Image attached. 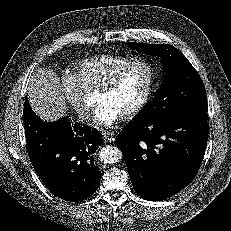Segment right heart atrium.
I'll use <instances>...</instances> for the list:
<instances>
[{
	"label": "right heart atrium",
	"mask_w": 231,
	"mask_h": 231,
	"mask_svg": "<svg viewBox=\"0 0 231 231\" xmlns=\"http://www.w3.org/2000/svg\"><path fill=\"white\" fill-rule=\"evenodd\" d=\"M59 94L73 107L81 120H88L93 105L89 102L85 90L73 74H64L58 84Z\"/></svg>",
	"instance_id": "1"
}]
</instances>
